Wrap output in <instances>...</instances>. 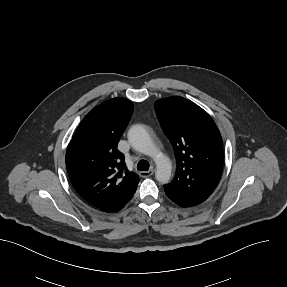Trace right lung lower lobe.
<instances>
[{"label":"right lung lower lobe","instance_id":"obj_1","mask_svg":"<svg viewBox=\"0 0 287 287\" xmlns=\"http://www.w3.org/2000/svg\"><path fill=\"white\" fill-rule=\"evenodd\" d=\"M135 192L127 194L121 198H118L102 207H99L104 212H117L124 207V205L132 198Z\"/></svg>","mask_w":287,"mask_h":287}]
</instances>
